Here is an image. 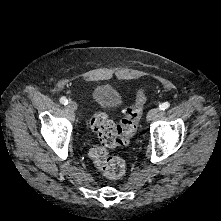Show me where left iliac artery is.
Masks as SVG:
<instances>
[{
  "label": "left iliac artery",
  "instance_id": "left-iliac-artery-1",
  "mask_svg": "<svg viewBox=\"0 0 221 221\" xmlns=\"http://www.w3.org/2000/svg\"><path fill=\"white\" fill-rule=\"evenodd\" d=\"M170 106V104L168 102H164L162 104L159 105V110L160 111H164L166 110L168 107Z\"/></svg>",
  "mask_w": 221,
  "mask_h": 221
}]
</instances>
